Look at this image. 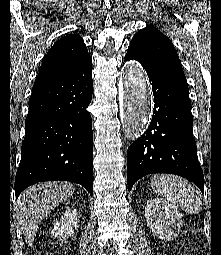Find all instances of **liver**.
I'll return each instance as SVG.
<instances>
[{"label":"liver","mask_w":221,"mask_h":255,"mask_svg":"<svg viewBox=\"0 0 221 255\" xmlns=\"http://www.w3.org/2000/svg\"><path fill=\"white\" fill-rule=\"evenodd\" d=\"M67 182H44L27 188L18 198L14 212L25 241L32 246L40 221L61 202L74 193Z\"/></svg>","instance_id":"1"}]
</instances>
